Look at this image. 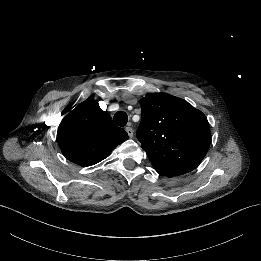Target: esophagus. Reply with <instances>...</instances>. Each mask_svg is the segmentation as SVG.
Returning <instances> with one entry per match:
<instances>
[{
    "label": "esophagus",
    "mask_w": 261,
    "mask_h": 261,
    "mask_svg": "<svg viewBox=\"0 0 261 261\" xmlns=\"http://www.w3.org/2000/svg\"><path fill=\"white\" fill-rule=\"evenodd\" d=\"M125 130H126V132L128 133V136H129L130 138H132V137H133V128H131V127H126Z\"/></svg>",
    "instance_id": "1"
}]
</instances>
